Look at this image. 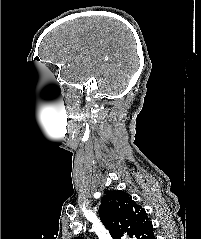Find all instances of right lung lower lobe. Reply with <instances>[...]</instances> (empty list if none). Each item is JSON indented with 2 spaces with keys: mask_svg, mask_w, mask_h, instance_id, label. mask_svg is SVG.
<instances>
[{
  "mask_svg": "<svg viewBox=\"0 0 201 239\" xmlns=\"http://www.w3.org/2000/svg\"><path fill=\"white\" fill-rule=\"evenodd\" d=\"M152 239H156L155 236H153Z\"/></svg>",
  "mask_w": 201,
  "mask_h": 239,
  "instance_id": "obj_1",
  "label": "right lung lower lobe"
}]
</instances>
